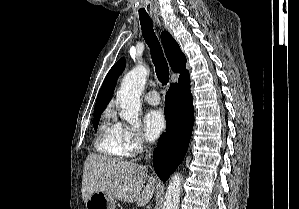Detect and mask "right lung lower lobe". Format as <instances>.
I'll use <instances>...</instances> for the list:
<instances>
[{
	"mask_svg": "<svg viewBox=\"0 0 299 209\" xmlns=\"http://www.w3.org/2000/svg\"><path fill=\"white\" fill-rule=\"evenodd\" d=\"M165 104L167 128L153 153L154 169L163 181H166L182 162L189 146L194 124L190 79L171 84Z\"/></svg>",
	"mask_w": 299,
	"mask_h": 209,
	"instance_id": "98d812e1",
	"label": "right lung lower lobe"
}]
</instances>
